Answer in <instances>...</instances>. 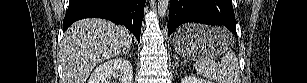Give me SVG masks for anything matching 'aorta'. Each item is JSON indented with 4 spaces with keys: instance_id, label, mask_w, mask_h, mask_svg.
Instances as JSON below:
<instances>
[{
    "instance_id": "aorta-1",
    "label": "aorta",
    "mask_w": 307,
    "mask_h": 83,
    "mask_svg": "<svg viewBox=\"0 0 307 83\" xmlns=\"http://www.w3.org/2000/svg\"><path fill=\"white\" fill-rule=\"evenodd\" d=\"M170 0H158V15L163 18L168 10Z\"/></svg>"
}]
</instances>
